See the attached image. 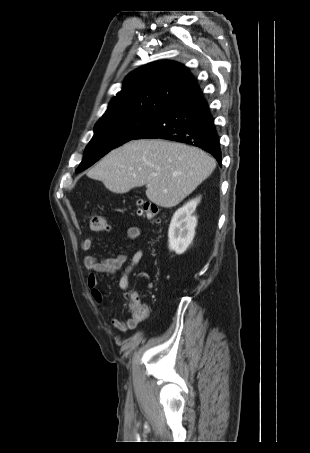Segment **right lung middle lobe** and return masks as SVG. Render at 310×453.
Returning a JSON list of instances; mask_svg holds the SVG:
<instances>
[{"mask_svg":"<svg viewBox=\"0 0 310 453\" xmlns=\"http://www.w3.org/2000/svg\"><path fill=\"white\" fill-rule=\"evenodd\" d=\"M158 114L124 113L102 117L95 125L94 136L85 148L76 173L93 165L112 149L136 139Z\"/></svg>","mask_w":310,"mask_h":453,"instance_id":"1","label":"right lung middle lobe"}]
</instances>
